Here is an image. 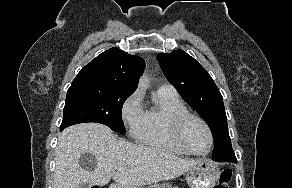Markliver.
<instances>
[{"instance_id": "obj_1", "label": "liver", "mask_w": 292, "mask_h": 188, "mask_svg": "<svg viewBox=\"0 0 292 188\" xmlns=\"http://www.w3.org/2000/svg\"><path fill=\"white\" fill-rule=\"evenodd\" d=\"M95 156L94 168L79 163L81 155ZM199 162L160 148L118 140L105 126L82 123L66 128L55 152L54 188H77L84 183L104 186L111 178L115 188H138L174 179ZM126 169L120 172L119 169Z\"/></svg>"}]
</instances>
